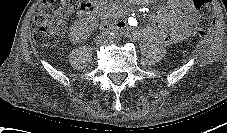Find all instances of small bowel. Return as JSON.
Returning a JSON list of instances; mask_svg holds the SVG:
<instances>
[{
    "mask_svg": "<svg viewBox=\"0 0 227 133\" xmlns=\"http://www.w3.org/2000/svg\"><path fill=\"white\" fill-rule=\"evenodd\" d=\"M149 3L150 0H140ZM123 29L133 39H147L156 43L172 44L179 42L197 29L196 15L192 0H168L155 15L150 18L153 26L146 29H135V20L128 17L124 21Z\"/></svg>",
    "mask_w": 227,
    "mask_h": 133,
    "instance_id": "obj_1",
    "label": "small bowel"
}]
</instances>
